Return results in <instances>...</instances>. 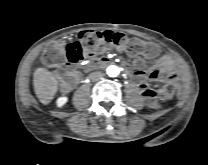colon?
Returning <instances> with one entry per match:
<instances>
[{
    "label": "colon",
    "mask_w": 208,
    "mask_h": 165,
    "mask_svg": "<svg viewBox=\"0 0 208 165\" xmlns=\"http://www.w3.org/2000/svg\"><path fill=\"white\" fill-rule=\"evenodd\" d=\"M115 44L120 50L130 56H155L158 48L153 43H147L137 38L127 37L113 31L86 30L78 34L77 40L66 45L62 40L52 42L42 53V62L47 67H59L65 62L90 59L101 52L107 44ZM175 86L168 83L159 91V98L168 100L174 95Z\"/></svg>",
    "instance_id": "colon-1"
}]
</instances>
